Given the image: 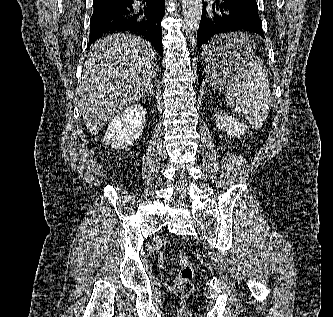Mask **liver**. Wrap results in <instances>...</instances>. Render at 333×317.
<instances>
[{
    "instance_id": "obj_1",
    "label": "liver",
    "mask_w": 333,
    "mask_h": 317,
    "mask_svg": "<svg viewBox=\"0 0 333 317\" xmlns=\"http://www.w3.org/2000/svg\"><path fill=\"white\" fill-rule=\"evenodd\" d=\"M154 58L152 45L130 34L103 37L90 47L77 102L92 135L152 89Z\"/></svg>"
}]
</instances>
